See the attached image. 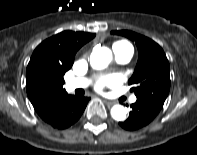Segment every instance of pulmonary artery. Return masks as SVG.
Returning a JSON list of instances; mask_svg holds the SVG:
<instances>
[{"mask_svg":"<svg viewBox=\"0 0 197 155\" xmlns=\"http://www.w3.org/2000/svg\"><path fill=\"white\" fill-rule=\"evenodd\" d=\"M113 52L117 62L121 64L128 63L133 56V49L130 47H113ZM88 84L89 81L86 78H73L67 82L66 86L68 90L72 91L78 88H85ZM130 102H136V97L133 96Z\"/></svg>","mask_w":197,"mask_h":155,"instance_id":"e3ab8cb5","label":"pulmonary artery"}]
</instances>
